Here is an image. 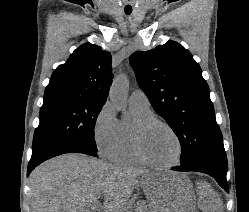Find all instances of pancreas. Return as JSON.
<instances>
[{"label":"pancreas","mask_w":249,"mask_h":212,"mask_svg":"<svg viewBox=\"0 0 249 212\" xmlns=\"http://www.w3.org/2000/svg\"><path fill=\"white\" fill-rule=\"evenodd\" d=\"M137 212H150L148 206H146L145 202H142L140 206L137 208Z\"/></svg>","instance_id":"pancreas-1"}]
</instances>
